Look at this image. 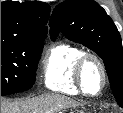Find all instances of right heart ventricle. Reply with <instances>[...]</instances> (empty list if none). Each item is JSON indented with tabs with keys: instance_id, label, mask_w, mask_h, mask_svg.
Here are the masks:
<instances>
[{
	"instance_id": "e07e8e85",
	"label": "right heart ventricle",
	"mask_w": 123,
	"mask_h": 113,
	"mask_svg": "<svg viewBox=\"0 0 123 113\" xmlns=\"http://www.w3.org/2000/svg\"><path fill=\"white\" fill-rule=\"evenodd\" d=\"M83 51L72 44L58 42L49 47L43 63V83L51 91L73 94L81 91L74 68Z\"/></svg>"
}]
</instances>
